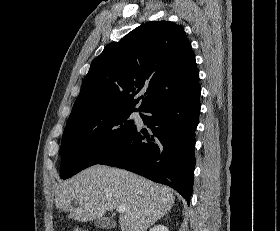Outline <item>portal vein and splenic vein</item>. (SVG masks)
<instances>
[{"instance_id":"1","label":"portal vein and splenic vein","mask_w":280,"mask_h":231,"mask_svg":"<svg viewBox=\"0 0 280 231\" xmlns=\"http://www.w3.org/2000/svg\"><path fill=\"white\" fill-rule=\"evenodd\" d=\"M116 211H119V213H121V211H125V207H120V205H118V207H116Z\"/></svg>"}]
</instances>
